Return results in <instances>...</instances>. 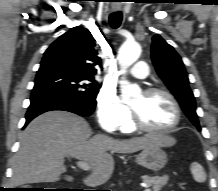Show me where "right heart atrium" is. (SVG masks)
I'll return each instance as SVG.
<instances>
[{
    "label": "right heart atrium",
    "instance_id": "1",
    "mask_svg": "<svg viewBox=\"0 0 218 191\" xmlns=\"http://www.w3.org/2000/svg\"><path fill=\"white\" fill-rule=\"evenodd\" d=\"M130 109L113 90H102L97 98L96 117L107 132L121 129L130 120Z\"/></svg>",
    "mask_w": 218,
    "mask_h": 191
}]
</instances>
